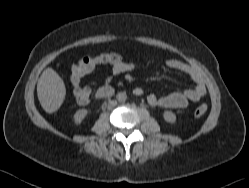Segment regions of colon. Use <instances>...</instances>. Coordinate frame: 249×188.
<instances>
[{
    "label": "colon",
    "instance_id": "5ec220e1",
    "mask_svg": "<svg viewBox=\"0 0 249 188\" xmlns=\"http://www.w3.org/2000/svg\"><path fill=\"white\" fill-rule=\"evenodd\" d=\"M119 59V56L115 53L100 54L95 57H82L78 62L73 64L71 68V81L74 85V98L77 104L86 105L91 96V88L88 86H81L80 82L82 78L89 74L97 65L114 63ZM207 111V105L202 103L195 109V116L201 117Z\"/></svg>",
    "mask_w": 249,
    "mask_h": 188
}]
</instances>
